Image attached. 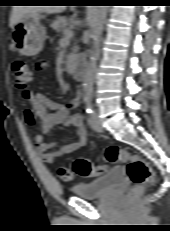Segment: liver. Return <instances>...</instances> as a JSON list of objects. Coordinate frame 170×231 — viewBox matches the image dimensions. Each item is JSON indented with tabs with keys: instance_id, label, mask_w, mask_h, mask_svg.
<instances>
[{
	"instance_id": "obj_1",
	"label": "liver",
	"mask_w": 170,
	"mask_h": 231,
	"mask_svg": "<svg viewBox=\"0 0 170 231\" xmlns=\"http://www.w3.org/2000/svg\"><path fill=\"white\" fill-rule=\"evenodd\" d=\"M65 10V6H14L10 17L9 26L11 28L26 14H37V13H60ZM73 10V8L71 9Z\"/></svg>"
}]
</instances>
